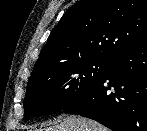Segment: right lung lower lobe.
Returning <instances> with one entry per match:
<instances>
[{
  "label": "right lung lower lobe",
  "mask_w": 147,
  "mask_h": 131,
  "mask_svg": "<svg viewBox=\"0 0 147 131\" xmlns=\"http://www.w3.org/2000/svg\"><path fill=\"white\" fill-rule=\"evenodd\" d=\"M64 110L113 131H147V39L116 56L103 79Z\"/></svg>",
  "instance_id": "1"
}]
</instances>
